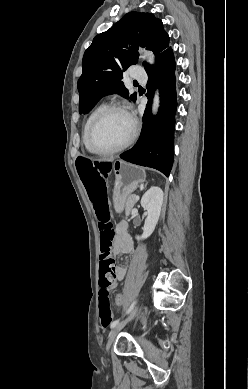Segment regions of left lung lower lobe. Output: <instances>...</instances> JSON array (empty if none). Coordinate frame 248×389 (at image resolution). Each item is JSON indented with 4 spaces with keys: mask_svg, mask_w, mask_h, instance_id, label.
Instances as JSON below:
<instances>
[{
    "mask_svg": "<svg viewBox=\"0 0 248 389\" xmlns=\"http://www.w3.org/2000/svg\"><path fill=\"white\" fill-rule=\"evenodd\" d=\"M158 84L160 91V108L157 116L151 115V101L156 88L154 68L146 70V85L149 101L143 115V127L136 145L124 152L120 157L128 162L147 166L161 171L167 177L170 174L174 159V127L176 100V63L170 47L156 59Z\"/></svg>",
    "mask_w": 248,
    "mask_h": 389,
    "instance_id": "obj_1",
    "label": "left lung lower lobe"
}]
</instances>
